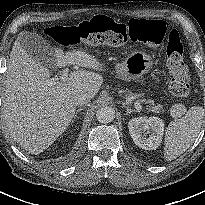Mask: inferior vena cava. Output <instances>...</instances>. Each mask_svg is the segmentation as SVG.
<instances>
[{
	"instance_id": "1",
	"label": "inferior vena cava",
	"mask_w": 205,
	"mask_h": 205,
	"mask_svg": "<svg viewBox=\"0 0 205 205\" xmlns=\"http://www.w3.org/2000/svg\"><path fill=\"white\" fill-rule=\"evenodd\" d=\"M92 99V95L90 93L81 92L77 94L75 97V104L76 105H85Z\"/></svg>"
}]
</instances>
